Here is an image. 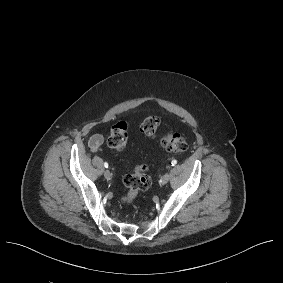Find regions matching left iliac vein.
<instances>
[{
	"instance_id": "obj_1",
	"label": "left iliac vein",
	"mask_w": 283,
	"mask_h": 283,
	"mask_svg": "<svg viewBox=\"0 0 283 283\" xmlns=\"http://www.w3.org/2000/svg\"><path fill=\"white\" fill-rule=\"evenodd\" d=\"M169 179H170V174L165 173L161 178V183L164 185V184L168 183Z\"/></svg>"
}]
</instances>
